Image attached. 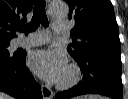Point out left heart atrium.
<instances>
[{
  "mask_svg": "<svg viewBox=\"0 0 128 99\" xmlns=\"http://www.w3.org/2000/svg\"><path fill=\"white\" fill-rule=\"evenodd\" d=\"M29 66L37 75L51 82L60 81L67 70L64 53L52 48L33 52Z\"/></svg>",
  "mask_w": 128,
  "mask_h": 99,
  "instance_id": "39dd6f15",
  "label": "left heart atrium"
}]
</instances>
